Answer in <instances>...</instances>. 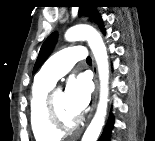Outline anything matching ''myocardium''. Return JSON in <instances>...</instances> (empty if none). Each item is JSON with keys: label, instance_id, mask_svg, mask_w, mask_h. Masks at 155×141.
Listing matches in <instances>:
<instances>
[{"label": "myocardium", "instance_id": "f54148a6", "mask_svg": "<svg viewBox=\"0 0 155 141\" xmlns=\"http://www.w3.org/2000/svg\"><path fill=\"white\" fill-rule=\"evenodd\" d=\"M56 92L57 90H50L45 98L46 120L48 124L59 133L73 131L79 126L81 119L76 117V119L70 123H65L61 119L54 105V95Z\"/></svg>", "mask_w": 155, "mask_h": 141}]
</instances>
